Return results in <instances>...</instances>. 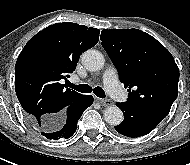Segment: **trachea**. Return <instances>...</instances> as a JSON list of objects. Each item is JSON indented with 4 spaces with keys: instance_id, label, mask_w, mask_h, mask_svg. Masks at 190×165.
<instances>
[{
    "instance_id": "1",
    "label": "trachea",
    "mask_w": 190,
    "mask_h": 165,
    "mask_svg": "<svg viewBox=\"0 0 190 165\" xmlns=\"http://www.w3.org/2000/svg\"><path fill=\"white\" fill-rule=\"evenodd\" d=\"M68 87L81 92V93H91L93 91V93L100 97V98H104L105 97V92L101 87H95L94 89H92L89 85L87 84H81V85H75L72 84L71 82L67 83Z\"/></svg>"
}]
</instances>
